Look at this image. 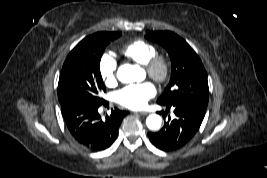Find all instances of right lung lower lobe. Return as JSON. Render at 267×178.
<instances>
[{"instance_id": "1", "label": "right lung lower lobe", "mask_w": 267, "mask_h": 178, "mask_svg": "<svg viewBox=\"0 0 267 178\" xmlns=\"http://www.w3.org/2000/svg\"><path fill=\"white\" fill-rule=\"evenodd\" d=\"M66 126L82 147L92 151L107 149L115 141L125 111L115 108L102 119L98 109L108 105L104 100L95 102L86 98L73 97L60 102Z\"/></svg>"}]
</instances>
